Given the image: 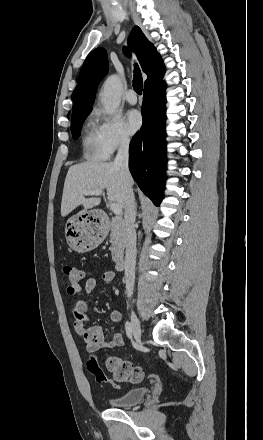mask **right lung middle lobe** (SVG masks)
Returning a JSON list of instances; mask_svg holds the SVG:
<instances>
[{
  "label": "right lung middle lobe",
  "instance_id": "dd1d6c3e",
  "mask_svg": "<svg viewBox=\"0 0 263 440\" xmlns=\"http://www.w3.org/2000/svg\"><path fill=\"white\" fill-rule=\"evenodd\" d=\"M89 113L80 114L72 117L71 119V133L73 139H77L80 136V130L82 128V124Z\"/></svg>",
  "mask_w": 263,
  "mask_h": 440
}]
</instances>
